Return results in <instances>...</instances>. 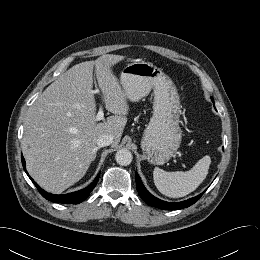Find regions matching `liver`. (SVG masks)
<instances>
[{"instance_id":"obj_1","label":"liver","mask_w":260,"mask_h":260,"mask_svg":"<svg viewBox=\"0 0 260 260\" xmlns=\"http://www.w3.org/2000/svg\"><path fill=\"white\" fill-rule=\"evenodd\" d=\"M124 56L105 54L74 65L50 84L30 107L24 126L22 151L31 177L48 192L61 193L87 172L98 150L97 139L111 134L121 139L129 105L111 67ZM107 111L96 121L93 68Z\"/></svg>"}]
</instances>
